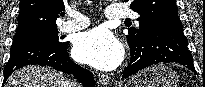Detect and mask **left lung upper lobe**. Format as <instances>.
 <instances>
[{
  "mask_svg": "<svg viewBox=\"0 0 205 87\" xmlns=\"http://www.w3.org/2000/svg\"><path fill=\"white\" fill-rule=\"evenodd\" d=\"M130 8L140 17L137 19L139 29H128L126 38L129 46L140 45L156 22L166 17H178L175 0H133Z\"/></svg>",
  "mask_w": 205,
  "mask_h": 87,
  "instance_id": "5c2ea615",
  "label": "left lung upper lobe"
}]
</instances>
